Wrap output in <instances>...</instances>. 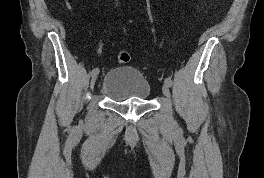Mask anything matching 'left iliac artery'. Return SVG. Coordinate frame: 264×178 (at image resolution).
I'll return each mask as SVG.
<instances>
[{
  "instance_id": "1",
  "label": "left iliac artery",
  "mask_w": 264,
  "mask_h": 178,
  "mask_svg": "<svg viewBox=\"0 0 264 178\" xmlns=\"http://www.w3.org/2000/svg\"><path fill=\"white\" fill-rule=\"evenodd\" d=\"M165 83H166L168 86H172V79H171L170 77L165 78Z\"/></svg>"
}]
</instances>
